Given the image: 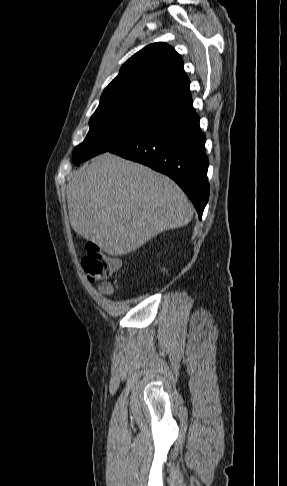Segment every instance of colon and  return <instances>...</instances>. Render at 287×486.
Returning a JSON list of instances; mask_svg holds the SVG:
<instances>
[{"label": "colon", "mask_w": 287, "mask_h": 486, "mask_svg": "<svg viewBox=\"0 0 287 486\" xmlns=\"http://www.w3.org/2000/svg\"><path fill=\"white\" fill-rule=\"evenodd\" d=\"M86 250L82 258V267L89 280L99 283L102 293L111 294L113 288L107 280L119 269L120 260L104 254L94 243H88Z\"/></svg>", "instance_id": "colon-1"}]
</instances>
